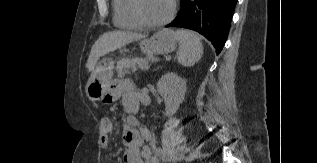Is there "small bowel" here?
I'll return each mask as SVG.
<instances>
[{
  "instance_id": "c3829d8e",
  "label": "small bowel",
  "mask_w": 317,
  "mask_h": 163,
  "mask_svg": "<svg viewBox=\"0 0 317 163\" xmlns=\"http://www.w3.org/2000/svg\"><path fill=\"white\" fill-rule=\"evenodd\" d=\"M113 100L120 99L122 107L128 115L125 118V131L123 142L125 152L124 163H160L159 151L153 143V137L147 128L141 127L134 116L137 112L141 95L128 81H123L114 86ZM100 147L108 149L111 145V133L113 125L110 119L101 122ZM147 145H144V142Z\"/></svg>"
}]
</instances>
